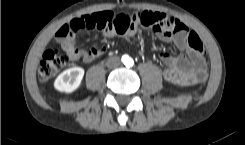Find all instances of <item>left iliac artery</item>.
<instances>
[{
	"label": "left iliac artery",
	"mask_w": 245,
	"mask_h": 145,
	"mask_svg": "<svg viewBox=\"0 0 245 145\" xmlns=\"http://www.w3.org/2000/svg\"><path fill=\"white\" fill-rule=\"evenodd\" d=\"M133 64H134V62L132 60H129L128 66H132Z\"/></svg>",
	"instance_id": "44dca946"
}]
</instances>
